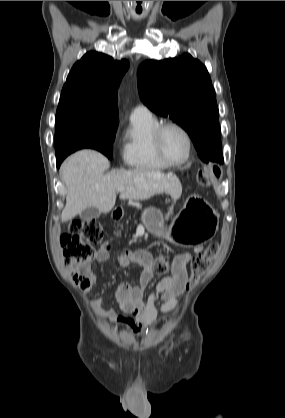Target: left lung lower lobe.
<instances>
[{"instance_id":"1","label":"left lung lower lobe","mask_w":285,"mask_h":418,"mask_svg":"<svg viewBox=\"0 0 285 418\" xmlns=\"http://www.w3.org/2000/svg\"><path fill=\"white\" fill-rule=\"evenodd\" d=\"M212 157L222 158V154L221 153L212 154Z\"/></svg>"}]
</instances>
